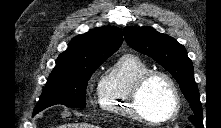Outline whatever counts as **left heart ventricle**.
I'll use <instances>...</instances> for the list:
<instances>
[{
    "label": "left heart ventricle",
    "instance_id": "1",
    "mask_svg": "<svg viewBox=\"0 0 221 128\" xmlns=\"http://www.w3.org/2000/svg\"><path fill=\"white\" fill-rule=\"evenodd\" d=\"M139 105L151 118L161 119L172 108V96L168 84L160 77H154L143 87Z\"/></svg>",
    "mask_w": 221,
    "mask_h": 128
}]
</instances>
